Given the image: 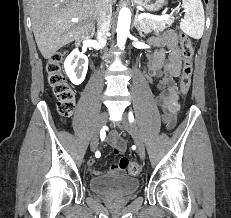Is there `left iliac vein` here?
<instances>
[{"label":"left iliac vein","mask_w":231,"mask_h":218,"mask_svg":"<svg viewBox=\"0 0 231 218\" xmlns=\"http://www.w3.org/2000/svg\"><path fill=\"white\" fill-rule=\"evenodd\" d=\"M122 125L124 129L133 137L137 147V153L142 160L145 159V147L142 134L134 122H129L126 116L123 117Z\"/></svg>","instance_id":"obj_1"}]
</instances>
